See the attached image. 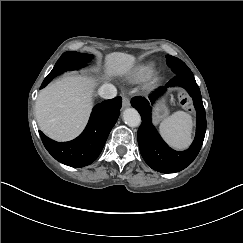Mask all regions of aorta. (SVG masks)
<instances>
[{
	"instance_id": "aorta-1",
	"label": "aorta",
	"mask_w": 243,
	"mask_h": 243,
	"mask_svg": "<svg viewBox=\"0 0 243 243\" xmlns=\"http://www.w3.org/2000/svg\"><path fill=\"white\" fill-rule=\"evenodd\" d=\"M123 120L129 127H138L141 124V117L134 108H126L124 110Z\"/></svg>"
}]
</instances>
